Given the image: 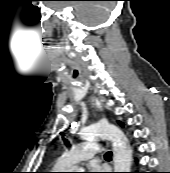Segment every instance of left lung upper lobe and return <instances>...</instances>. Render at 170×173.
Listing matches in <instances>:
<instances>
[{
    "label": "left lung upper lobe",
    "instance_id": "1",
    "mask_svg": "<svg viewBox=\"0 0 170 173\" xmlns=\"http://www.w3.org/2000/svg\"><path fill=\"white\" fill-rule=\"evenodd\" d=\"M121 126H123V123H121V122H118Z\"/></svg>",
    "mask_w": 170,
    "mask_h": 173
}]
</instances>
